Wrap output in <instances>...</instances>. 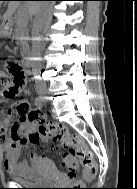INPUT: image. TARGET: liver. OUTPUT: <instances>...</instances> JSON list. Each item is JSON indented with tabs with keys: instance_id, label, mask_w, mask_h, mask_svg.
<instances>
[{
	"instance_id": "6515ba94",
	"label": "liver",
	"mask_w": 137,
	"mask_h": 189,
	"mask_svg": "<svg viewBox=\"0 0 137 189\" xmlns=\"http://www.w3.org/2000/svg\"><path fill=\"white\" fill-rule=\"evenodd\" d=\"M19 5H20L19 1H10L8 3V9L3 15V19L9 18ZM42 5L43 3L41 2H29L28 7L31 13H35L39 10V8H41Z\"/></svg>"
}]
</instances>
